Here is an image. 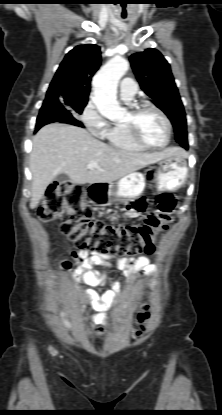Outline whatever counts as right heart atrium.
I'll list each match as a JSON object with an SVG mask.
<instances>
[{"instance_id": "d8ad5b80", "label": "right heart atrium", "mask_w": 222, "mask_h": 415, "mask_svg": "<svg viewBox=\"0 0 222 415\" xmlns=\"http://www.w3.org/2000/svg\"><path fill=\"white\" fill-rule=\"evenodd\" d=\"M81 123L95 136L105 137L111 128L93 101H89L79 115Z\"/></svg>"}]
</instances>
